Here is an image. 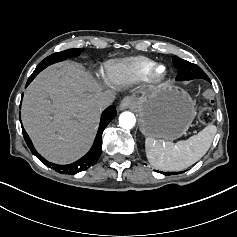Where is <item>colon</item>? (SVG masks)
<instances>
[{
	"instance_id": "1",
	"label": "colon",
	"mask_w": 237,
	"mask_h": 237,
	"mask_svg": "<svg viewBox=\"0 0 237 237\" xmlns=\"http://www.w3.org/2000/svg\"><path fill=\"white\" fill-rule=\"evenodd\" d=\"M204 97L211 102L214 101L213 91H211V90L204 91ZM199 119H200L201 123H203L205 125H209V124L213 123V121L215 119L214 109L209 106L202 108L199 113Z\"/></svg>"
}]
</instances>
